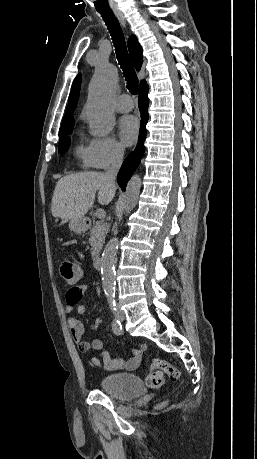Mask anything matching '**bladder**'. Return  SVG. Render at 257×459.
<instances>
[{"instance_id": "1", "label": "bladder", "mask_w": 257, "mask_h": 459, "mask_svg": "<svg viewBox=\"0 0 257 459\" xmlns=\"http://www.w3.org/2000/svg\"><path fill=\"white\" fill-rule=\"evenodd\" d=\"M99 388L104 393L124 401L132 400L147 392L142 380L130 373L106 375L99 380Z\"/></svg>"}]
</instances>
